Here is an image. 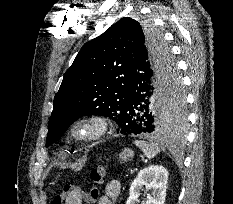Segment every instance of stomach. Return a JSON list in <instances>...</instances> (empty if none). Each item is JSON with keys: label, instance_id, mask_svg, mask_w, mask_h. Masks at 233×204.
Here are the masks:
<instances>
[{"label": "stomach", "instance_id": "obj_1", "mask_svg": "<svg viewBox=\"0 0 233 204\" xmlns=\"http://www.w3.org/2000/svg\"><path fill=\"white\" fill-rule=\"evenodd\" d=\"M133 157H134V152L129 148H125L119 154V159L122 160V161H129V160L133 159Z\"/></svg>", "mask_w": 233, "mask_h": 204}]
</instances>
